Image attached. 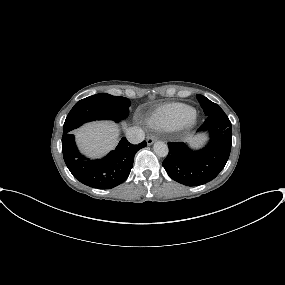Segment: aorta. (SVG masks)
<instances>
[{
	"instance_id": "obj_1",
	"label": "aorta",
	"mask_w": 285,
	"mask_h": 285,
	"mask_svg": "<svg viewBox=\"0 0 285 285\" xmlns=\"http://www.w3.org/2000/svg\"><path fill=\"white\" fill-rule=\"evenodd\" d=\"M153 149L156 155L160 157H166L169 153V149L166 143L157 141L153 145Z\"/></svg>"
}]
</instances>
